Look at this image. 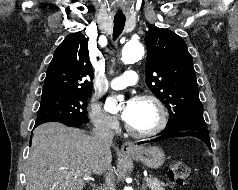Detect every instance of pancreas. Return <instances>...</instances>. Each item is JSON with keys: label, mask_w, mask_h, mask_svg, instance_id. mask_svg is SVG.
Masks as SVG:
<instances>
[{"label": "pancreas", "mask_w": 238, "mask_h": 190, "mask_svg": "<svg viewBox=\"0 0 238 190\" xmlns=\"http://www.w3.org/2000/svg\"><path fill=\"white\" fill-rule=\"evenodd\" d=\"M147 185L150 188V190H165L164 186L166 184L158 180L157 178H150V181L148 182Z\"/></svg>", "instance_id": "1"}]
</instances>
